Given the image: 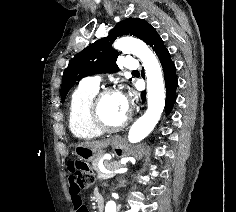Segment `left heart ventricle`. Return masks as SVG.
<instances>
[{
  "mask_svg": "<svg viewBox=\"0 0 236 212\" xmlns=\"http://www.w3.org/2000/svg\"><path fill=\"white\" fill-rule=\"evenodd\" d=\"M100 108L103 118L110 125H117L126 117V114L121 111L118 93L106 96L102 100Z\"/></svg>",
  "mask_w": 236,
  "mask_h": 212,
  "instance_id": "b2bd125f",
  "label": "left heart ventricle"
}]
</instances>
